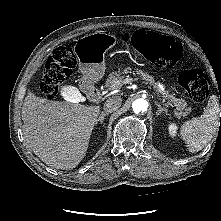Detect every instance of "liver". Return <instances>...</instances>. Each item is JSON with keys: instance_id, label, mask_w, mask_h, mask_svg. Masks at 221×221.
Masks as SVG:
<instances>
[{"instance_id": "6515ba94", "label": "liver", "mask_w": 221, "mask_h": 221, "mask_svg": "<svg viewBox=\"0 0 221 221\" xmlns=\"http://www.w3.org/2000/svg\"><path fill=\"white\" fill-rule=\"evenodd\" d=\"M99 113L100 106L50 101L29 92L22 106L24 138L47 165L72 169L86 154Z\"/></svg>"}]
</instances>
